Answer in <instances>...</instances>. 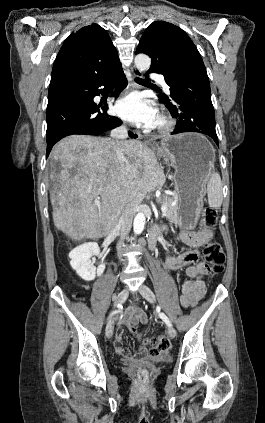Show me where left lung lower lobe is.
<instances>
[{
	"mask_svg": "<svg viewBox=\"0 0 265 423\" xmlns=\"http://www.w3.org/2000/svg\"><path fill=\"white\" fill-rule=\"evenodd\" d=\"M157 73L164 75L170 86V97L161 94L160 101L168 106L173 117L178 118L172 134L198 132L210 136L218 145L210 83L201 56Z\"/></svg>",
	"mask_w": 265,
	"mask_h": 423,
	"instance_id": "obj_1",
	"label": "left lung lower lobe"
}]
</instances>
